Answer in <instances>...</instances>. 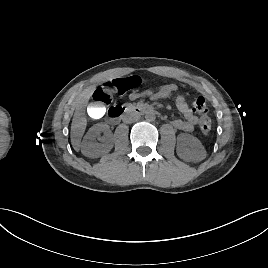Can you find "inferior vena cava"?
Returning a JSON list of instances; mask_svg holds the SVG:
<instances>
[{"mask_svg": "<svg viewBox=\"0 0 268 268\" xmlns=\"http://www.w3.org/2000/svg\"><path fill=\"white\" fill-rule=\"evenodd\" d=\"M139 120V115L135 112H128L123 116V121L125 123H134Z\"/></svg>", "mask_w": 268, "mask_h": 268, "instance_id": "obj_1", "label": "inferior vena cava"}]
</instances>
